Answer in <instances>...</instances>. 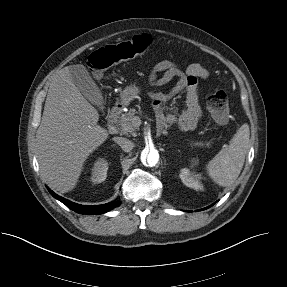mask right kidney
Returning <instances> with one entry per match:
<instances>
[{
  "label": "right kidney",
  "instance_id": "ca27d5eb",
  "mask_svg": "<svg viewBox=\"0 0 287 287\" xmlns=\"http://www.w3.org/2000/svg\"><path fill=\"white\" fill-rule=\"evenodd\" d=\"M108 162L104 158H99L92 168L91 180L93 183H101L107 177Z\"/></svg>",
  "mask_w": 287,
  "mask_h": 287
}]
</instances>
